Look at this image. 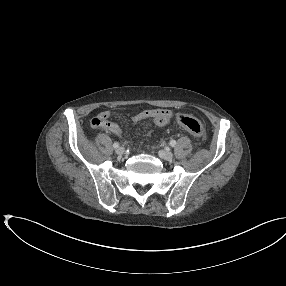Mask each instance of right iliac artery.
<instances>
[{
  "label": "right iliac artery",
  "instance_id": "82829eb1",
  "mask_svg": "<svg viewBox=\"0 0 286 286\" xmlns=\"http://www.w3.org/2000/svg\"><path fill=\"white\" fill-rule=\"evenodd\" d=\"M113 147H114V148H118V147H119V144H118L117 142H114V143H113Z\"/></svg>",
  "mask_w": 286,
  "mask_h": 286
}]
</instances>
